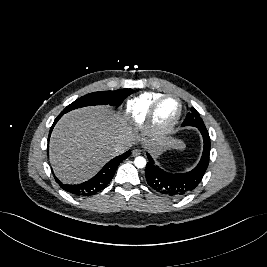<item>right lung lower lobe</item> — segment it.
<instances>
[{
	"label": "right lung lower lobe",
	"instance_id": "98d812e1",
	"mask_svg": "<svg viewBox=\"0 0 267 267\" xmlns=\"http://www.w3.org/2000/svg\"><path fill=\"white\" fill-rule=\"evenodd\" d=\"M61 118V116L59 115L51 129H50V133L48 136V141L50 138V134L51 131L54 127V125L57 123V121ZM131 152L127 151L126 153L115 157L114 159H112L111 161H109L100 171L99 173L94 176L92 179L81 183V184H77V185H67V184H63L61 181H59L57 179V177H54L56 182L60 185V187L73 194L76 196H91L94 195L98 192H100L101 190H103L108 183L111 181L112 177L114 176L118 165L120 164V162H122L123 160H125L126 158H128L130 156Z\"/></svg>",
	"mask_w": 267,
	"mask_h": 267
}]
</instances>
